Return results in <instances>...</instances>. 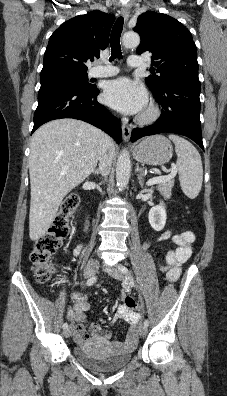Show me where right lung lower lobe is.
Masks as SVG:
<instances>
[{
  "mask_svg": "<svg viewBox=\"0 0 227 396\" xmlns=\"http://www.w3.org/2000/svg\"><path fill=\"white\" fill-rule=\"evenodd\" d=\"M99 90L82 89L67 83L41 86L32 133L42 124L61 118L88 122L108 133L118 144L122 141L119 120L97 102Z\"/></svg>",
  "mask_w": 227,
  "mask_h": 396,
  "instance_id": "obj_1",
  "label": "right lung lower lobe"
}]
</instances>
